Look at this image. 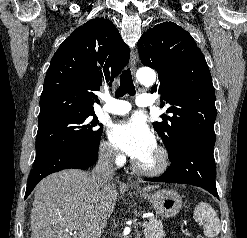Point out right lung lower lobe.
<instances>
[{
  "label": "right lung lower lobe",
  "mask_w": 247,
  "mask_h": 238,
  "mask_svg": "<svg viewBox=\"0 0 247 238\" xmlns=\"http://www.w3.org/2000/svg\"><path fill=\"white\" fill-rule=\"evenodd\" d=\"M98 147L94 150L62 148L35 159L28 179L25 198L39 181L51 173L70 168L87 169L92 166L98 159Z\"/></svg>",
  "instance_id": "right-lung-lower-lobe-1"
}]
</instances>
